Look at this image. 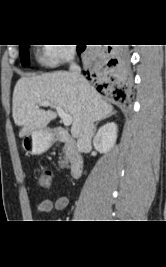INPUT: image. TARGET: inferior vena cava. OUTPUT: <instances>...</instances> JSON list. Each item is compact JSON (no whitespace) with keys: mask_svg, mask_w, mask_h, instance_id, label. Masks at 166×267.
Instances as JSON below:
<instances>
[{"mask_svg":"<svg viewBox=\"0 0 166 267\" xmlns=\"http://www.w3.org/2000/svg\"><path fill=\"white\" fill-rule=\"evenodd\" d=\"M75 52L71 51L67 56V61L70 63L69 73L73 81L81 87L84 92H87V82L81 75L80 67L74 62ZM94 121L89 114H87L83 120L81 130L77 139V149L83 152L87 147L91 145V140L94 135Z\"/></svg>","mask_w":166,"mask_h":267,"instance_id":"1","label":"inferior vena cava"}]
</instances>
